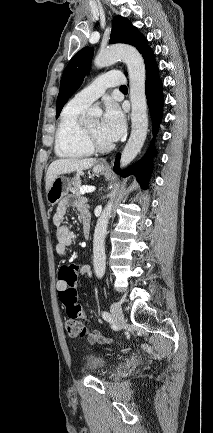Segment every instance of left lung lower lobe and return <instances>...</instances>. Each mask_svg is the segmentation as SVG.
<instances>
[{"instance_id": "obj_1", "label": "left lung lower lobe", "mask_w": 213, "mask_h": 433, "mask_svg": "<svg viewBox=\"0 0 213 433\" xmlns=\"http://www.w3.org/2000/svg\"><path fill=\"white\" fill-rule=\"evenodd\" d=\"M144 62L146 67V97L148 102V107L151 113L153 136L156 135L160 121L163 114L164 98L162 92V82L159 77L158 66L154 59V53L150 49L144 56ZM155 153L154 141L146 153V155L138 161L136 164L132 165L124 171V176L133 174L137 177L141 186L146 189L148 186V181L150 178V172L152 167L151 158ZM120 154L117 156L114 170L116 173H120L119 169Z\"/></svg>"}]
</instances>
